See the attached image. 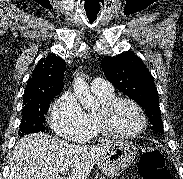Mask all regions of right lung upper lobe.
I'll list each match as a JSON object with an SVG mask.
<instances>
[{"instance_id": "right-lung-upper-lobe-1", "label": "right lung upper lobe", "mask_w": 183, "mask_h": 179, "mask_svg": "<svg viewBox=\"0 0 183 179\" xmlns=\"http://www.w3.org/2000/svg\"><path fill=\"white\" fill-rule=\"evenodd\" d=\"M65 67V61L54 54L42 58L27 81L23 105L58 95L64 87Z\"/></svg>"}]
</instances>
